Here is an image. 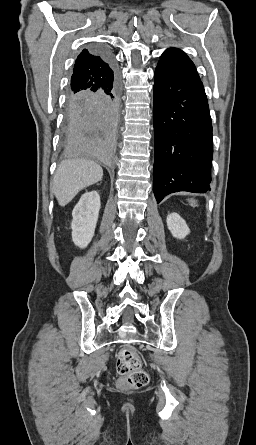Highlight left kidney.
<instances>
[{
    "instance_id": "left-kidney-1",
    "label": "left kidney",
    "mask_w": 256,
    "mask_h": 445,
    "mask_svg": "<svg viewBox=\"0 0 256 445\" xmlns=\"http://www.w3.org/2000/svg\"><path fill=\"white\" fill-rule=\"evenodd\" d=\"M167 226L171 234L178 239H183L190 233L185 220L177 213H171L167 216Z\"/></svg>"
}]
</instances>
